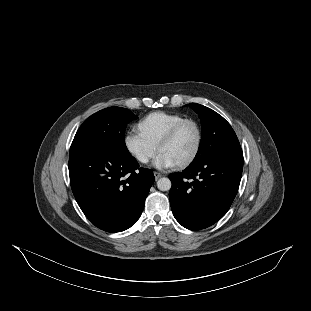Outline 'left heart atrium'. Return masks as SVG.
<instances>
[{
  "mask_svg": "<svg viewBox=\"0 0 311 311\" xmlns=\"http://www.w3.org/2000/svg\"><path fill=\"white\" fill-rule=\"evenodd\" d=\"M177 162L165 153H160L153 162V167L158 170L173 168Z\"/></svg>",
  "mask_w": 311,
  "mask_h": 311,
  "instance_id": "left-heart-atrium-1",
  "label": "left heart atrium"
}]
</instances>
